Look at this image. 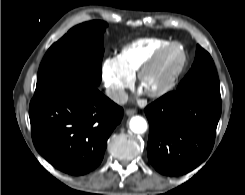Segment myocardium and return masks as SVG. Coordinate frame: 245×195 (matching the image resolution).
Here are the masks:
<instances>
[{
    "instance_id": "f54148a6",
    "label": "myocardium",
    "mask_w": 245,
    "mask_h": 195,
    "mask_svg": "<svg viewBox=\"0 0 245 195\" xmlns=\"http://www.w3.org/2000/svg\"><path fill=\"white\" fill-rule=\"evenodd\" d=\"M177 49L180 53V58L171 70L167 78L155 89H144L143 82L145 77L157 67V65L162 61V59L169 54L171 51ZM187 61V56L184 47L177 42H171L163 48L155 52L137 71V82L139 87L144 91V93L151 98H158L169 92L175 85L179 76L181 75Z\"/></svg>"
}]
</instances>
